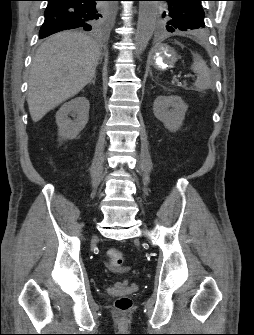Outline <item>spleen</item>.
<instances>
[{
	"label": "spleen",
	"instance_id": "spleen-1",
	"mask_svg": "<svg viewBox=\"0 0 254 335\" xmlns=\"http://www.w3.org/2000/svg\"><path fill=\"white\" fill-rule=\"evenodd\" d=\"M191 69L196 74L197 79L194 83V86L197 90L203 91L211 88L212 79L210 69L207 66L206 62L198 55H193V64Z\"/></svg>",
	"mask_w": 254,
	"mask_h": 335
}]
</instances>
